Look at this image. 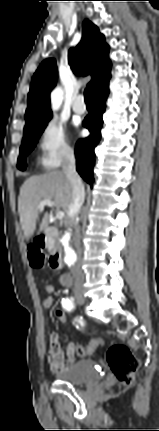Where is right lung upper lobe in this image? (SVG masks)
<instances>
[{"instance_id": "cb5924a9", "label": "right lung upper lobe", "mask_w": 159, "mask_h": 431, "mask_svg": "<svg viewBox=\"0 0 159 431\" xmlns=\"http://www.w3.org/2000/svg\"><path fill=\"white\" fill-rule=\"evenodd\" d=\"M109 46L99 29L85 20L83 37L76 48L68 54V62L75 74H91L94 91L109 81L111 61L108 58ZM57 82V66L53 58L44 60L35 72L28 94V107L25 114L24 131L39 125L52 117L50 92Z\"/></svg>"}]
</instances>
